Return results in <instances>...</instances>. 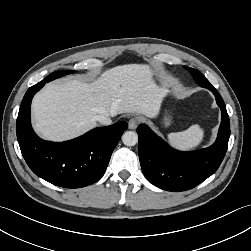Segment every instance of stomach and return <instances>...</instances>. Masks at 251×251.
I'll use <instances>...</instances> for the list:
<instances>
[{
	"label": "stomach",
	"mask_w": 251,
	"mask_h": 251,
	"mask_svg": "<svg viewBox=\"0 0 251 251\" xmlns=\"http://www.w3.org/2000/svg\"><path fill=\"white\" fill-rule=\"evenodd\" d=\"M170 125V118H165V126H169Z\"/></svg>",
	"instance_id": "1"
}]
</instances>
